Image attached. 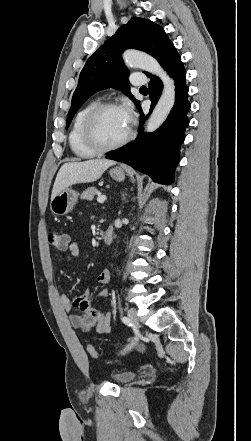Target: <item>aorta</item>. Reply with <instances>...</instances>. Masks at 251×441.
Segmentation results:
<instances>
[{
  "label": "aorta",
  "instance_id": "aorta-1",
  "mask_svg": "<svg viewBox=\"0 0 251 441\" xmlns=\"http://www.w3.org/2000/svg\"><path fill=\"white\" fill-rule=\"evenodd\" d=\"M123 58L129 67L147 71L158 76L163 82V92L150 115L147 125V132H154L166 120L175 103V83L174 80L163 70L156 59L145 53L127 50L123 53Z\"/></svg>",
  "mask_w": 251,
  "mask_h": 441
}]
</instances>
